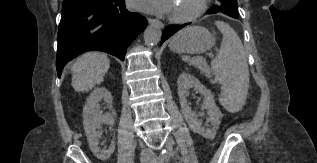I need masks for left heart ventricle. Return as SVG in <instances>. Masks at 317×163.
Returning a JSON list of instances; mask_svg holds the SVG:
<instances>
[{"mask_svg": "<svg viewBox=\"0 0 317 163\" xmlns=\"http://www.w3.org/2000/svg\"><path fill=\"white\" fill-rule=\"evenodd\" d=\"M196 0H175L171 14L182 15L190 12L195 6Z\"/></svg>", "mask_w": 317, "mask_h": 163, "instance_id": "1", "label": "left heart ventricle"}]
</instances>
